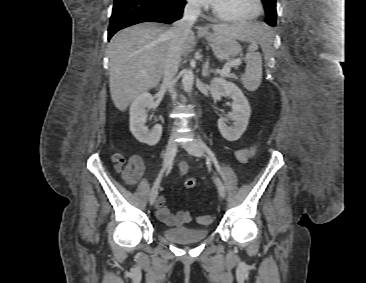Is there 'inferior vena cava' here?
<instances>
[{
    "label": "inferior vena cava",
    "instance_id": "602c4592",
    "mask_svg": "<svg viewBox=\"0 0 366 283\" xmlns=\"http://www.w3.org/2000/svg\"><path fill=\"white\" fill-rule=\"evenodd\" d=\"M201 13L200 4L196 0H187L183 17L171 27L170 44L164 61L163 83L169 89L172 99L176 98L175 83L179 63L182 55V47L191 32V27Z\"/></svg>",
    "mask_w": 366,
    "mask_h": 283
}]
</instances>
